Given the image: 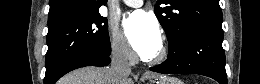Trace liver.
<instances>
[{"instance_id":"6515ba94","label":"liver","mask_w":260,"mask_h":84,"mask_svg":"<svg viewBox=\"0 0 260 84\" xmlns=\"http://www.w3.org/2000/svg\"><path fill=\"white\" fill-rule=\"evenodd\" d=\"M157 74H145L142 81L156 77ZM59 84H134L132 80L120 78L108 67H84L72 71L60 79Z\"/></svg>"}]
</instances>
